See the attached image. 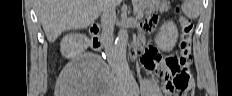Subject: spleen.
<instances>
[{"mask_svg": "<svg viewBox=\"0 0 232 96\" xmlns=\"http://www.w3.org/2000/svg\"><path fill=\"white\" fill-rule=\"evenodd\" d=\"M183 13L190 19H196L202 13L201 0H185L181 5Z\"/></svg>", "mask_w": 232, "mask_h": 96, "instance_id": "3e777b00", "label": "spleen"}]
</instances>
